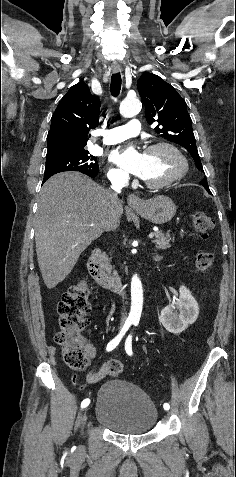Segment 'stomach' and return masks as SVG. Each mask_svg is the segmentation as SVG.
<instances>
[{
	"label": "stomach",
	"instance_id": "obj_1",
	"mask_svg": "<svg viewBox=\"0 0 236 477\" xmlns=\"http://www.w3.org/2000/svg\"><path fill=\"white\" fill-rule=\"evenodd\" d=\"M138 214L154 224L169 222L176 213L174 202L167 196L158 195L142 203L141 206L133 207Z\"/></svg>",
	"mask_w": 236,
	"mask_h": 477
}]
</instances>
